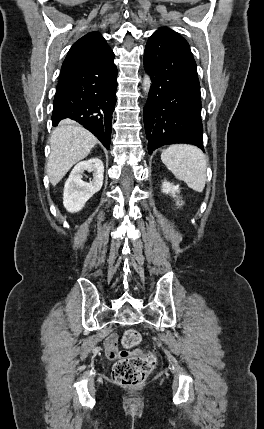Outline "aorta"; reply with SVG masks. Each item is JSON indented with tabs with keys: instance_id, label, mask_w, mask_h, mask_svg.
I'll return each mask as SVG.
<instances>
[{
	"instance_id": "762f6f07",
	"label": "aorta",
	"mask_w": 264,
	"mask_h": 429,
	"mask_svg": "<svg viewBox=\"0 0 264 429\" xmlns=\"http://www.w3.org/2000/svg\"><path fill=\"white\" fill-rule=\"evenodd\" d=\"M150 85H151L150 77L148 75H145L143 79V89L146 93L149 91Z\"/></svg>"
}]
</instances>
